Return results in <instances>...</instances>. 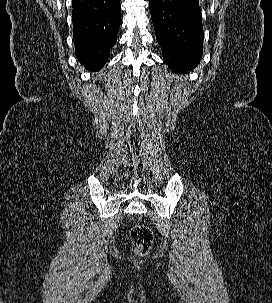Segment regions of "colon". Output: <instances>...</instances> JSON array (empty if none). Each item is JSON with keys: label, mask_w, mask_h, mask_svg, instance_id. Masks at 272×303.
<instances>
[{"label": "colon", "mask_w": 272, "mask_h": 303, "mask_svg": "<svg viewBox=\"0 0 272 303\" xmlns=\"http://www.w3.org/2000/svg\"><path fill=\"white\" fill-rule=\"evenodd\" d=\"M130 237L134 244L136 253L140 256L146 255L152 245V231L143 225H135L131 229Z\"/></svg>", "instance_id": "1"}]
</instances>
